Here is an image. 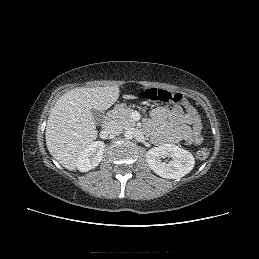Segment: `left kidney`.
<instances>
[{
  "label": "left kidney",
  "mask_w": 259,
  "mask_h": 259,
  "mask_svg": "<svg viewBox=\"0 0 259 259\" xmlns=\"http://www.w3.org/2000/svg\"><path fill=\"white\" fill-rule=\"evenodd\" d=\"M172 158L168 163L163 158ZM146 161L152 171L167 179H178L188 174L195 165V158L187 150L174 144L153 147L146 153Z\"/></svg>",
  "instance_id": "obj_1"
}]
</instances>
